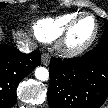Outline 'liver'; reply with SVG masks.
I'll return each mask as SVG.
<instances>
[{
	"instance_id": "liver-1",
	"label": "liver",
	"mask_w": 108,
	"mask_h": 108,
	"mask_svg": "<svg viewBox=\"0 0 108 108\" xmlns=\"http://www.w3.org/2000/svg\"><path fill=\"white\" fill-rule=\"evenodd\" d=\"M14 35L18 41H28L25 37V34L22 31H17Z\"/></svg>"
}]
</instances>
